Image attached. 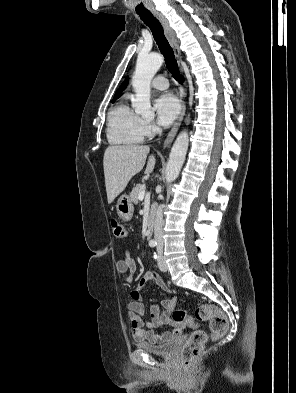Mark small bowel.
<instances>
[{
  "instance_id": "1",
  "label": "small bowel",
  "mask_w": 296,
  "mask_h": 393,
  "mask_svg": "<svg viewBox=\"0 0 296 393\" xmlns=\"http://www.w3.org/2000/svg\"><path fill=\"white\" fill-rule=\"evenodd\" d=\"M135 268V261L130 252H126L124 256L116 262L117 272L122 275L127 282L132 280V275L135 271ZM153 281L161 288L168 289L166 281L156 271L148 270L141 277L137 286L130 292V300L128 302V316L131 323V331L134 340L159 344L179 336L185 325L173 322L170 317L177 304L176 297L165 299L160 303H153L150 308L151 319L147 322L143 321L145 306L143 303L141 290L148 283ZM161 306L164 308L162 313H160ZM163 325H171L173 326V330L163 333H158L155 331V329Z\"/></svg>"
}]
</instances>
